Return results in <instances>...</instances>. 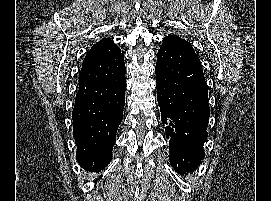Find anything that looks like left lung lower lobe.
Wrapping results in <instances>:
<instances>
[{
	"instance_id": "left-lung-lower-lobe-1",
	"label": "left lung lower lobe",
	"mask_w": 271,
	"mask_h": 201,
	"mask_svg": "<svg viewBox=\"0 0 271 201\" xmlns=\"http://www.w3.org/2000/svg\"><path fill=\"white\" fill-rule=\"evenodd\" d=\"M155 72L161 120L170 138V161L184 174L204 158L210 109L202 65L190 43L172 35L163 39Z\"/></svg>"
}]
</instances>
